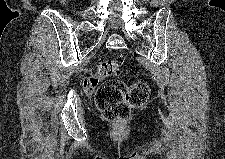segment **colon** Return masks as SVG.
I'll list each match as a JSON object with an SVG mask.
<instances>
[{
  "instance_id": "1",
  "label": "colon",
  "mask_w": 225,
  "mask_h": 159,
  "mask_svg": "<svg viewBox=\"0 0 225 159\" xmlns=\"http://www.w3.org/2000/svg\"><path fill=\"white\" fill-rule=\"evenodd\" d=\"M123 63L124 58L121 56L100 61L96 66L95 81L118 74ZM149 95V86L145 82L126 84L121 80L110 79L98 87L95 102L106 120L119 123L130 118L132 109L145 105Z\"/></svg>"
}]
</instances>
